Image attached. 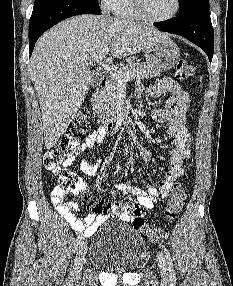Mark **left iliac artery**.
Here are the masks:
<instances>
[{
  "instance_id": "left-iliac-artery-1",
  "label": "left iliac artery",
  "mask_w": 233,
  "mask_h": 286,
  "mask_svg": "<svg viewBox=\"0 0 233 286\" xmlns=\"http://www.w3.org/2000/svg\"><path fill=\"white\" fill-rule=\"evenodd\" d=\"M160 247H161L163 254L165 255L166 261H167L168 270L170 272V278L172 280H174L175 279V272H174V265H173L172 257H171L168 249L166 248V246L164 244H160Z\"/></svg>"
}]
</instances>
